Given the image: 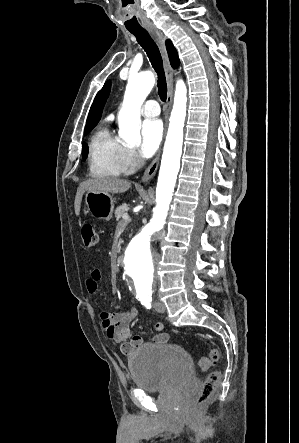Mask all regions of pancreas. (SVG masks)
Here are the masks:
<instances>
[{"label":"pancreas","instance_id":"cf45deb5","mask_svg":"<svg viewBox=\"0 0 299 443\" xmlns=\"http://www.w3.org/2000/svg\"><path fill=\"white\" fill-rule=\"evenodd\" d=\"M128 211H129V207L127 204L124 203V204L118 206L115 210L116 220L119 221L122 218V216L124 214H126ZM124 222H127V221H124Z\"/></svg>","mask_w":299,"mask_h":443}]
</instances>
